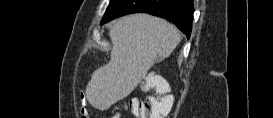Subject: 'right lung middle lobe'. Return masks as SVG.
<instances>
[{
    "mask_svg": "<svg viewBox=\"0 0 273 118\" xmlns=\"http://www.w3.org/2000/svg\"><path fill=\"white\" fill-rule=\"evenodd\" d=\"M121 2V0H111L108 7H107V10L105 12V15L103 18L107 17L108 15H110L113 11V9Z\"/></svg>",
    "mask_w": 273,
    "mask_h": 118,
    "instance_id": "dd1d6c3e",
    "label": "right lung middle lobe"
}]
</instances>
